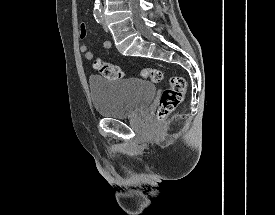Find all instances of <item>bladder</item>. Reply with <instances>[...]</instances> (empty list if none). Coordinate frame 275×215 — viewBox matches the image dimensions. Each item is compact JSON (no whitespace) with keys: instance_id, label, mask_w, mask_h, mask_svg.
<instances>
[{"instance_id":"obj_1","label":"bladder","mask_w":275,"mask_h":215,"mask_svg":"<svg viewBox=\"0 0 275 215\" xmlns=\"http://www.w3.org/2000/svg\"><path fill=\"white\" fill-rule=\"evenodd\" d=\"M89 91L94 109L99 115L124 119L147 108L155 96L156 87L141 78L109 81L90 76Z\"/></svg>"}]
</instances>
